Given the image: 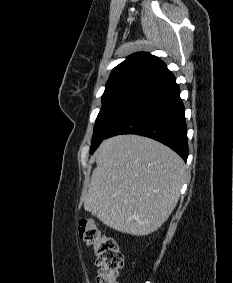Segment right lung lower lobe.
<instances>
[{"mask_svg": "<svg viewBox=\"0 0 233 283\" xmlns=\"http://www.w3.org/2000/svg\"><path fill=\"white\" fill-rule=\"evenodd\" d=\"M120 134L155 139L186 161L188 144L184 106L172 73L151 81L110 129L106 138Z\"/></svg>", "mask_w": 233, "mask_h": 283, "instance_id": "right-lung-lower-lobe-1", "label": "right lung lower lobe"}]
</instances>
